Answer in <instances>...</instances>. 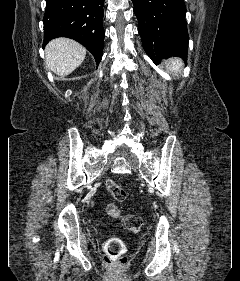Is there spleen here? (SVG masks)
<instances>
[{"mask_svg": "<svg viewBox=\"0 0 240 281\" xmlns=\"http://www.w3.org/2000/svg\"><path fill=\"white\" fill-rule=\"evenodd\" d=\"M166 66L168 70L178 73L181 71L183 63L182 60L179 58H172L166 62Z\"/></svg>", "mask_w": 240, "mask_h": 281, "instance_id": "3e777b00", "label": "spleen"}]
</instances>
